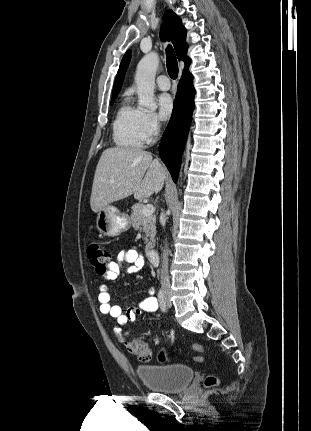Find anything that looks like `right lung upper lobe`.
Segmentation results:
<instances>
[{
  "mask_svg": "<svg viewBox=\"0 0 311 431\" xmlns=\"http://www.w3.org/2000/svg\"><path fill=\"white\" fill-rule=\"evenodd\" d=\"M160 37L163 41L167 39L171 40V42L174 45L178 59L184 60L185 70H188V67L190 65V59L186 56L187 54L186 29L182 25L181 19L172 10H168L167 13L164 15L163 24L161 26V31H160ZM130 58H131L130 50H128L123 56V59L121 61V64L115 79L114 87H113L112 98L117 97L121 89V85H122Z\"/></svg>",
  "mask_w": 311,
  "mask_h": 431,
  "instance_id": "right-lung-upper-lobe-1",
  "label": "right lung upper lobe"
}]
</instances>
